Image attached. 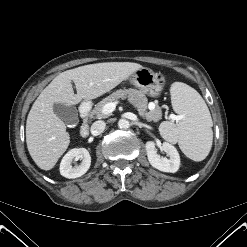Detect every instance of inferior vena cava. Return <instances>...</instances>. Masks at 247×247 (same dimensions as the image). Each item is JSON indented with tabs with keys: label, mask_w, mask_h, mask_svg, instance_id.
<instances>
[{
	"label": "inferior vena cava",
	"mask_w": 247,
	"mask_h": 247,
	"mask_svg": "<svg viewBox=\"0 0 247 247\" xmlns=\"http://www.w3.org/2000/svg\"><path fill=\"white\" fill-rule=\"evenodd\" d=\"M106 127V123L104 121H95L91 126V133L94 136L100 135Z\"/></svg>",
	"instance_id": "obj_1"
}]
</instances>
